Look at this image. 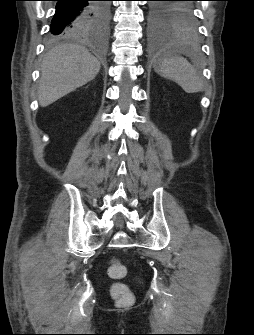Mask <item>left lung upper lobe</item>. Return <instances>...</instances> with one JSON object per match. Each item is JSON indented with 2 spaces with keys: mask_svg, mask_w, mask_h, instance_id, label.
<instances>
[{
  "mask_svg": "<svg viewBox=\"0 0 254 335\" xmlns=\"http://www.w3.org/2000/svg\"><path fill=\"white\" fill-rule=\"evenodd\" d=\"M149 32L152 35L183 34L196 31L197 22L192 1L149 0Z\"/></svg>",
  "mask_w": 254,
  "mask_h": 335,
  "instance_id": "obj_1",
  "label": "left lung upper lobe"
}]
</instances>
